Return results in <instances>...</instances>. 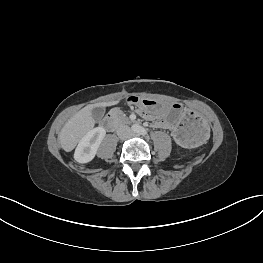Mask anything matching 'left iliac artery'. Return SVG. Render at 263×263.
I'll return each instance as SVG.
<instances>
[{
	"instance_id": "left-iliac-artery-1",
	"label": "left iliac artery",
	"mask_w": 263,
	"mask_h": 263,
	"mask_svg": "<svg viewBox=\"0 0 263 263\" xmlns=\"http://www.w3.org/2000/svg\"><path fill=\"white\" fill-rule=\"evenodd\" d=\"M139 132H140V134H142L144 136L147 135V130L144 129L143 127L140 128Z\"/></svg>"
}]
</instances>
